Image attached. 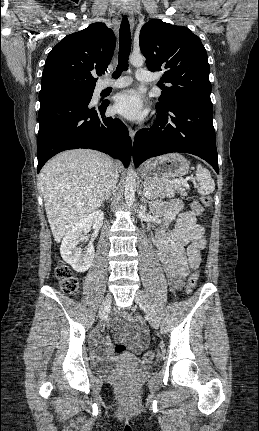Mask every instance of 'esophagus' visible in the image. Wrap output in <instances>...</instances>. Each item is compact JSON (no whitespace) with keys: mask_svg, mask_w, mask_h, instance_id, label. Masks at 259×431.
<instances>
[{"mask_svg":"<svg viewBox=\"0 0 259 431\" xmlns=\"http://www.w3.org/2000/svg\"><path fill=\"white\" fill-rule=\"evenodd\" d=\"M126 13H127V16H128L129 22H130V26L133 29V26H134L133 11L129 6H126ZM128 131H129V135H130L131 139L134 140L135 131L131 127H128Z\"/></svg>","mask_w":259,"mask_h":431,"instance_id":"34e87169","label":"esophagus"}]
</instances>
